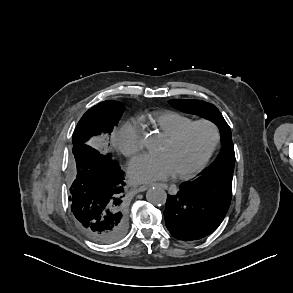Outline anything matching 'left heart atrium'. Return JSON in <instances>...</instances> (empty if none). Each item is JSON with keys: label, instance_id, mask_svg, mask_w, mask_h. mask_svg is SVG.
Instances as JSON below:
<instances>
[{"label": "left heart atrium", "instance_id": "obj_1", "mask_svg": "<svg viewBox=\"0 0 293 293\" xmlns=\"http://www.w3.org/2000/svg\"><path fill=\"white\" fill-rule=\"evenodd\" d=\"M175 174L169 158L164 155L144 154L129 164V176L134 182H154L165 180Z\"/></svg>", "mask_w": 293, "mask_h": 293}]
</instances>
